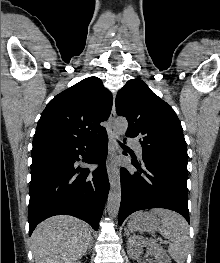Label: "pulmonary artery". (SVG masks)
<instances>
[{
    "instance_id": "pulmonary-artery-1",
    "label": "pulmonary artery",
    "mask_w": 220,
    "mask_h": 263,
    "mask_svg": "<svg viewBox=\"0 0 220 263\" xmlns=\"http://www.w3.org/2000/svg\"><path fill=\"white\" fill-rule=\"evenodd\" d=\"M128 142H129L132 146H134V148L136 149V152H137L138 156L141 157V156H142V148H141L140 144H139L136 140H134V139H132V138H129V139H128Z\"/></svg>"
}]
</instances>
